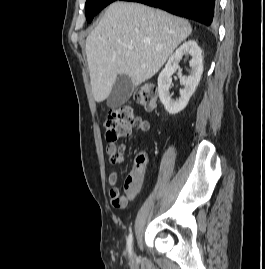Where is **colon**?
<instances>
[{
    "label": "colon",
    "mask_w": 265,
    "mask_h": 269,
    "mask_svg": "<svg viewBox=\"0 0 265 269\" xmlns=\"http://www.w3.org/2000/svg\"><path fill=\"white\" fill-rule=\"evenodd\" d=\"M158 90L153 84L144 85L134 95V102L145 109L153 111L157 107ZM146 126L144 119L135 115L134 104L127 103L112 109L104 121L105 138L112 143L128 136L134 130H143ZM143 163V157L136 158V167Z\"/></svg>",
    "instance_id": "1"
}]
</instances>
